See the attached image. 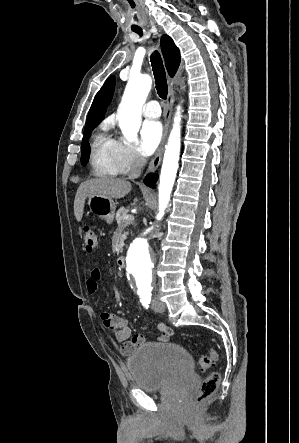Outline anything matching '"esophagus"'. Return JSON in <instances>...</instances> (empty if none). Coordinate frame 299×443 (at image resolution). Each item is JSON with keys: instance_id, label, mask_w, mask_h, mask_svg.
<instances>
[{"instance_id": "34e87169", "label": "esophagus", "mask_w": 299, "mask_h": 443, "mask_svg": "<svg viewBox=\"0 0 299 443\" xmlns=\"http://www.w3.org/2000/svg\"><path fill=\"white\" fill-rule=\"evenodd\" d=\"M173 100H174L173 88H172V86H170L169 91H168V96H167L166 107H165V126H164L163 137H162V141L158 147L155 157L152 159V161L149 164V167H148L149 172H154L161 163L163 151H164V145L166 142V138H167L168 130L170 127V122H171Z\"/></svg>"}]
</instances>
